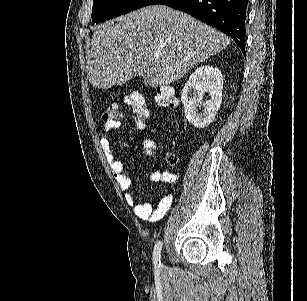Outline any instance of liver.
I'll list each match as a JSON object with an SVG mask.
<instances>
[{
	"label": "liver",
	"instance_id": "6515ba94",
	"mask_svg": "<svg viewBox=\"0 0 307 301\" xmlns=\"http://www.w3.org/2000/svg\"><path fill=\"white\" fill-rule=\"evenodd\" d=\"M230 42L186 12L166 4L144 6L98 24L87 54V78L95 88L124 84L133 76H142L145 86H165Z\"/></svg>",
	"mask_w": 307,
	"mask_h": 301
}]
</instances>
